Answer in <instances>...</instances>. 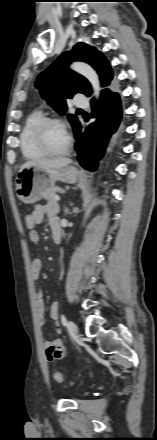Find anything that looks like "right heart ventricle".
<instances>
[{"instance_id": "1", "label": "right heart ventricle", "mask_w": 157, "mask_h": 440, "mask_svg": "<svg viewBox=\"0 0 157 440\" xmlns=\"http://www.w3.org/2000/svg\"><path fill=\"white\" fill-rule=\"evenodd\" d=\"M44 118L41 111L31 112L25 119L22 130L20 132V148L21 152L27 159H39L45 154L36 147L33 142L32 133L39 121Z\"/></svg>"}]
</instances>
